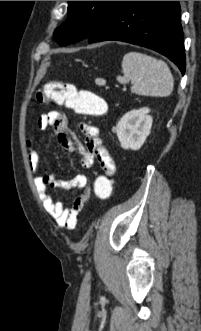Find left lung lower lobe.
<instances>
[{
	"label": "left lung lower lobe",
	"instance_id": "left-lung-lower-lobe-1",
	"mask_svg": "<svg viewBox=\"0 0 201 331\" xmlns=\"http://www.w3.org/2000/svg\"><path fill=\"white\" fill-rule=\"evenodd\" d=\"M178 1H120L88 42L116 40L157 51L185 72Z\"/></svg>",
	"mask_w": 201,
	"mask_h": 331
}]
</instances>
